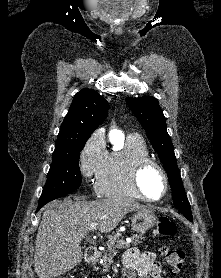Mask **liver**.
<instances>
[{
  "label": "liver",
  "instance_id": "1",
  "mask_svg": "<svg viewBox=\"0 0 221 278\" xmlns=\"http://www.w3.org/2000/svg\"><path fill=\"white\" fill-rule=\"evenodd\" d=\"M58 208L43 213L35 244L34 268L39 278H55L77 266L83 259L80 240L96 222L101 233L115 229L129 212L151 210L129 198L96 201H57Z\"/></svg>",
  "mask_w": 221,
  "mask_h": 278
}]
</instances>
